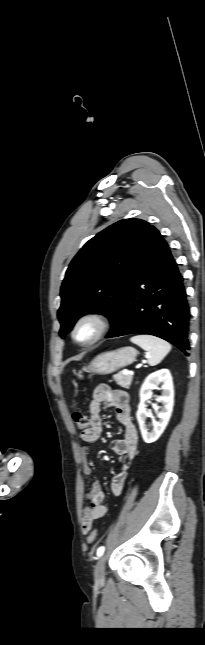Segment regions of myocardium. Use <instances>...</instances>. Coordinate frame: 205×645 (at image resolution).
I'll return each instance as SVG.
<instances>
[{
	"mask_svg": "<svg viewBox=\"0 0 205 645\" xmlns=\"http://www.w3.org/2000/svg\"><path fill=\"white\" fill-rule=\"evenodd\" d=\"M90 324L94 327L93 334L87 339H80L78 337L79 329L85 325ZM109 329L108 318L99 312H88L81 315L74 323L71 329V338L74 342L80 345H92L100 340Z\"/></svg>",
	"mask_w": 205,
	"mask_h": 645,
	"instance_id": "f54148a6",
	"label": "myocardium"
}]
</instances>
